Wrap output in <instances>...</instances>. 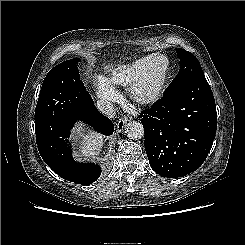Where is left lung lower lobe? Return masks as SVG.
Returning <instances> with one entry per match:
<instances>
[{
    "mask_svg": "<svg viewBox=\"0 0 245 245\" xmlns=\"http://www.w3.org/2000/svg\"><path fill=\"white\" fill-rule=\"evenodd\" d=\"M140 117L145 150L156 173L177 178L203 164L217 127L215 100L205 78L165 90Z\"/></svg>",
    "mask_w": 245,
    "mask_h": 245,
    "instance_id": "0a47b994",
    "label": "left lung lower lobe"
}]
</instances>
